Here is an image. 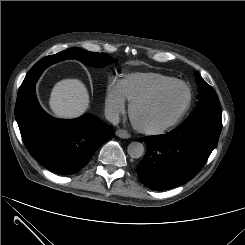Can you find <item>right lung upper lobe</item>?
<instances>
[{
	"label": "right lung upper lobe",
	"mask_w": 245,
	"mask_h": 245,
	"mask_svg": "<svg viewBox=\"0 0 245 245\" xmlns=\"http://www.w3.org/2000/svg\"><path fill=\"white\" fill-rule=\"evenodd\" d=\"M57 62L54 57L47 56L38 61L36 64L38 66V69H35V67L31 68V70L26 75L24 81L28 84V91L35 86L36 81L40 77L41 73L51 64ZM35 66V65H34Z\"/></svg>",
	"instance_id": "1"
}]
</instances>
